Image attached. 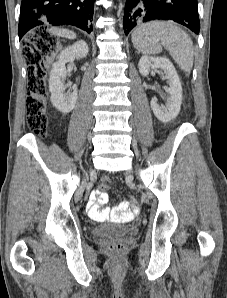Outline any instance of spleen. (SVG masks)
<instances>
[{"instance_id":"1","label":"spleen","mask_w":227,"mask_h":298,"mask_svg":"<svg viewBox=\"0 0 227 298\" xmlns=\"http://www.w3.org/2000/svg\"><path fill=\"white\" fill-rule=\"evenodd\" d=\"M131 39L134 47L143 54H158L164 47L183 71H191L194 61L192 40L174 23L152 21L140 25Z\"/></svg>"}]
</instances>
